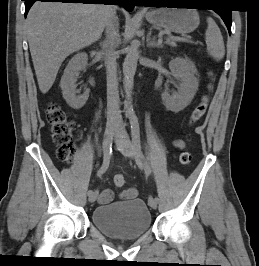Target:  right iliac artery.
<instances>
[{
  "mask_svg": "<svg viewBox=\"0 0 259 266\" xmlns=\"http://www.w3.org/2000/svg\"><path fill=\"white\" fill-rule=\"evenodd\" d=\"M111 141H109V143H105V150H104V160H103V164L102 166L100 167V169L98 170L97 172V176L100 177L102 176L106 170L108 169L109 167V163H110V156H111V152H112V149H111ZM93 191L92 190H89L88 191V195L92 194Z\"/></svg>",
  "mask_w": 259,
  "mask_h": 266,
  "instance_id": "1",
  "label": "right iliac artery"
}]
</instances>
